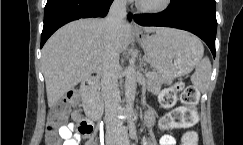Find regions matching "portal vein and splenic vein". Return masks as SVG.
Wrapping results in <instances>:
<instances>
[{
  "label": "portal vein and splenic vein",
  "instance_id": "1",
  "mask_svg": "<svg viewBox=\"0 0 243 145\" xmlns=\"http://www.w3.org/2000/svg\"><path fill=\"white\" fill-rule=\"evenodd\" d=\"M152 75H153V73H147V74H146L147 77H150V76H152Z\"/></svg>",
  "mask_w": 243,
  "mask_h": 145
}]
</instances>
